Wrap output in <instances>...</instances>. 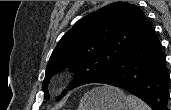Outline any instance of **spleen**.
I'll list each match as a JSON object with an SVG mask.
<instances>
[{"instance_id":"3e777b00","label":"spleen","mask_w":171,"mask_h":110,"mask_svg":"<svg viewBox=\"0 0 171 110\" xmlns=\"http://www.w3.org/2000/svg\"><path fill=\"white\" fill-rule=\"evenodd\" d=\"M126 98L131 106L130 110H151L145 102H143L136 96L130 94Z\"/></svg>"}]
</instances>
